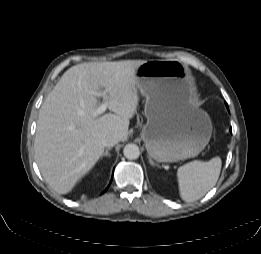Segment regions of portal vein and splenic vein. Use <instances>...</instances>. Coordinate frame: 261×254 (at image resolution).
I'll list each match as a JSON object with an SVG mask.
<instances>
[{
  "label": "portal vein and splenic vein",
  "instance_id": "obj_1",
  "mask_svg": "<svg viewBox=\"0 0 261 254\" xmlns=\"http://www.w3.org/2000/svg\"><path fill=\"white\" fill-rule=\"evenodd\" d=\"M100 95L103 97V99L105 100L99 107H98V109L94 112V116H99V115H101L102 113H104L105 111H106V109H107V106H108V104H107V102H106V98H107V96H106V91H102L101 93H100Z\"/></svg>",
  "mask_w": 261,
  "mask_h": 254
}]
</instances>
